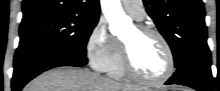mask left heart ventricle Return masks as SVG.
<instances>
[{
    "label": "left heart ventricle",
    "mask_w": 220,
    "mask_h": 91,
    "mask_svg": "<svg viewBox=\"0 0 220 91\" xmlns=\"http://www.w3.org/2000/svg\"><path fill=\"white\" fill-rule=\"evenodd\" d=\"M136 70L144 77L156 78L167 68V56L161 42L153 35H142L132 28L123 38Z\"/></svg>",
    "instance_id": "obj_1"
}]
</instances>
